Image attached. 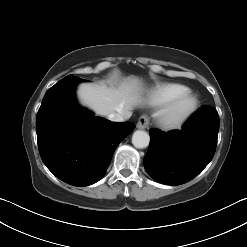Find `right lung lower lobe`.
I'll list each match as a JSON object with an SVG mask.
<instances>
[{"instance_id":"1","label":"right lung lower lobe","mask_w":247,"mask_h":247,"mask_svg":"<svg viewBox=\"0 0 247 247\" xmlns=\"http://www.w3.org/2000/svg\"><path fill=\"white\" fill-rule=\"evenodd\" d=\"M78 77L64 78L45 94L37 113L40 156L60 180L88 186L105 174L117 145L134 130L132 122H111L80 108Z\"/></svg>"}]
</instances>
